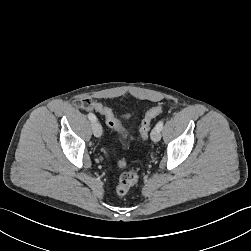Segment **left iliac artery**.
I'll return each mask as SVG.
<instances>
[{
    "instance_id": "obj_1",
    "label": "left iliac artery",
    "mask_w": 251,
    "mask_h": 251,
    "mask_svg": "<svg viewBox=\"0 0 251 251\" xmlns=\"http://www.w3.org/2000/svg\"><path fill=\"white\" fill-rule=\"evenodd\" d=\"M163 124H164V121L163 120H160L157 124H156V128L158 129V130H162V128H163Z\"/></svg>"
}]
</instances>
